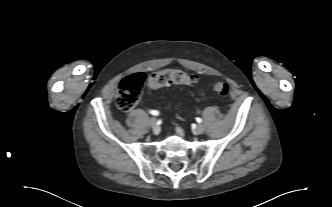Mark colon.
I'll return each instance as SVG.
<instances>
[{
	"label": "colon",
	"mask_w": 332,
	"mask_h": 207,
	"mask_svg": "<svg viewBox=\"0 0 332 207\" xmlns=\"http://www.w3.org/2000/svg\"><path fill=\"white\" fill-rule=\"evenodd\" d=\"M146 77L143 73L138 72L131 74L118 85L116 103L120 110L130 111L137 103ZM197 77L188 74L182 70L165 69L152 73L148 78V85L152 89H157L169 85H195ZM212 89L215 93L225 96L229 92V85L226 82H216Z\"/></svg>",
	"instance_id": "colon-1"
}]
</instances>
